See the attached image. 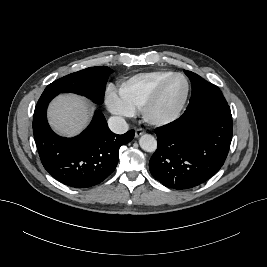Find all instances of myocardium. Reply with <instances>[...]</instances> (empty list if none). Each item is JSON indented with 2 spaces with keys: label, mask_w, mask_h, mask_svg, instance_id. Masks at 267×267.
Segmentation results:
<instances>
[{
  "label": "myocardium",
  "mask_w": 267,
  "mask_h": 267,
  "mask_svg": "<svg viewBox=\"0 0 267 267\" xmlns=\"http://www.w3.org/2000/svg\"><path fill=\"white\" fill-rule=\"evenodd\" d=\"M176 77L182 78L186 83L185 94H184L181 102L178 104V106L174 110H172L171 112H169L167 114H162V115L155 114V112H154L155 107H156L157 103L159 102L160 97H161L166 85L172 79H174ZM189 93H190V82H189L188 78L182 73H172L171 75L164 78L156 86V88L154 89V91L152 92L150 97L147 99V101L144 103L143 107L141 108V113H142L144 120L147 123H149L151 125H156V126L166 125V124H169V123L175 121L182 113V111H183V109L187 103Z\"/></svg>",
  "instance_id": "f54148a6"
}]
</instances>
